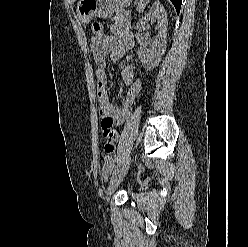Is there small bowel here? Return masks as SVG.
<instances>
[{
	"mask_svg": "<svg viewBox=\"0 0 248 247\" xmlns=\"http://www.w3.org/2000/svg\"><path fill=\"white\" fill-rule=\"evenodd\" d=\"M112 34H103L100 37L92 35L90 38V50L97 66L95 75L97 79V94L99 102V114L101 116V129L104 138V170L108 173L114 164L113 154L118 141V133L114 129L116 119L121 109L120 104L111 101L106 85V57L109 56L112 62L120 60L127 49L134 45L131 33L111 27ZM134 65L129 63L121 70V79L125 86L129 87L134 83Z\"/></svg>",
	"mask_w": 248,
	"mask_h": 247,
	"instance_id": "1",
	"label": "small bowel"
}]
</instances>
